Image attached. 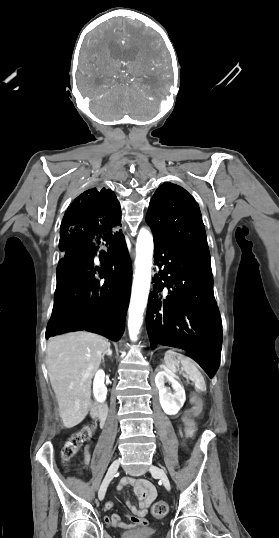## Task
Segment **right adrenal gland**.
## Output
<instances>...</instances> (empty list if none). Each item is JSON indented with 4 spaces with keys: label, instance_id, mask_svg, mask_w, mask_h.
<instances>
[{
    "label": "right adrenal gland",
    "instance_id": "obj_1",
    "mask_svg": "<svg viewBox=\"0 0 279 538\" xmlns=\"http://www.w3.org/2000/svg\"><path fill=\"white\" fill-rule=\"evenodd\" d=\"M105 354H108V356H111V354H112V350H110V344H109V346H108V350H107V352H104V354H103V356H102L103 360H104V356H105Z\"/></svg>",
    "mask_w": 279,
    "mask_h": 538
}]
</instances>
